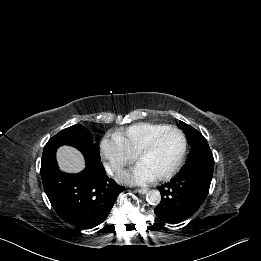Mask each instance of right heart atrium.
<instances>
[{"label":"right heart atrium","mask_w":261,"mask_h":261,"mask_svg":"<svg viewBox=\"0 0 261 261\" xmlns=\"http://www.w3.org/2000/svg\"><path fill=\"white\" fill-rule=\"evenodd\" d=\"M101 155L107 172L118 175L131 163L134 155L130 154L114 137H104L100 143Z\"/></svg>","instance_id":"1"}]
</instances>
